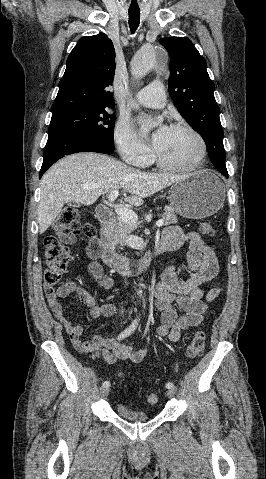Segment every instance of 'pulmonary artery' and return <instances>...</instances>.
<instances>
[{
	"instance_id": "obj_1",
	"label": "pulmonary artery",
	"mask_w": 266,
	"mask_h": 479,
	"mask_svg": "<svg viewBox=\"0 0 266 479\" xmlns=\"http://www.w3.org/2000/svg\"><path fill=\"white\" fill-rule=\"evenodd\" d=\"M138 102L146 107L161 108L166 103L165 89L161 82L155 81L144 87L137 95Z\"/></svg>"
}]
</instances>
